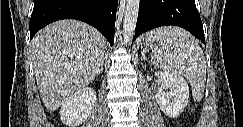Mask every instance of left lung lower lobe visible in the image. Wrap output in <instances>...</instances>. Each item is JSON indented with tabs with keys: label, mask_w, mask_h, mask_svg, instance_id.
I'll list each match as a JSON object with an SVG mask.
<instances>
[{
	"label": "left lung lower lobe",
	"mask_w": 243,
	"mask_h": 127,
	"mask_svg": "<svg viewBox=\"0 0 243 127\" xmlns=\"http://www.w3.org/2000/svg\"><path fill=\"white\" fill-rule=\"evenodd\" d=\"M167 25L182 27L205 44L195 0H140L134 39L146 31Z\"/></svg>",
	"instance_id": "left-lung-lower-lobe-1"
}]
</instances>
